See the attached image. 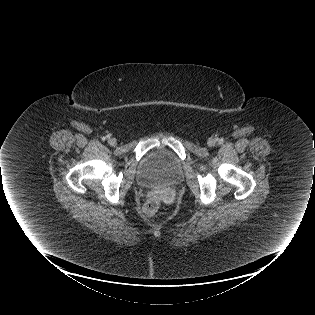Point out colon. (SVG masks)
<instances>
[{
	"mask_svg": "<svg viewBox=\"0 0 315 315\" xmlns=\"http://www.w3.org/2000/svg\"><path fill=\"white\" fill-rule=\"evenodd\" d=\"M160 207V201L157 197L149 198L144 204V213L146 215H153Z\"/></svg>",
	"mask_w": 315,
	"mask_h": 315,
	"instance_id": "colon-1",
	"label": "colon"
}]
</instances>
